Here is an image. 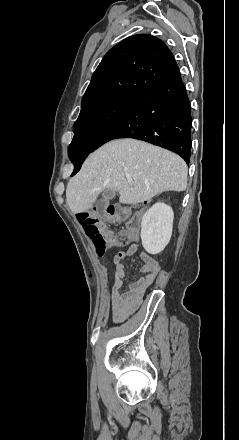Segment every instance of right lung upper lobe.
Listing matches in <instances>:
<instances>
[{
	"mask_svg": "<svg viewBox=\"0 0 239 440\" xmlns=\"http://www.w3.org/2000/svg\"><path fill=\"white\" fill-rule=\"evenodd\" d=\"M176 65L160 39L148 34L128 37L102 59L83 96L81 110L116 96L137 97Z\"/></svg>",
	"mask_w": 239,
	"mask_h": 440,
	"instance_id": "right-lung-upper-lobe-1",
	"label": "right lung upper lobe"
}]
</instances>
